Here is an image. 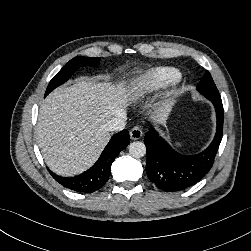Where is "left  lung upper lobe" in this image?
Masks as SVG:
<instances>
[{
  "mask_svg": "<svg viewBox=\"0 0 251 251\" xmlns=\"http://www.w3.org/2000/svg\"><path fill=\"white\" fill-rule=\"evenodd\" d=\"M197 90L208 99L220 98L219 91L208 71L205 72V75L197 85Z\"/></svg>",
  "mask_w": 251,
  "mask_h": 251,
  "instance_id": "5c2ea615",
  "label": "left lung upper lobe"
}]
</instances>
